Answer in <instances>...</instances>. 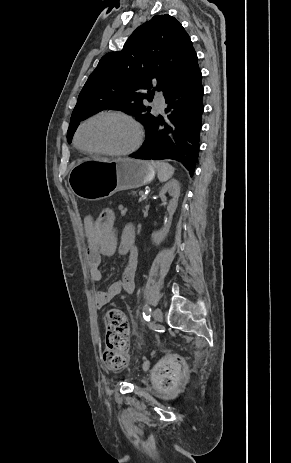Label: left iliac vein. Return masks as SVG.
<instances>
[{
    "instance_id": "left-iliac-vein-1",
    "label": "left iliac vein",
    "mask_w": 291,
    "mask_h": 463,
    "mask_svg": "<svg viewBox=\"0 0 291 463\" xmlns=\"http://www.w3.org/2000/svg\"><path fill=\"white\" fill-rule=\"evenodd\" d=\"M153 318L156 322H160L163 318V314L160 308H155L153 311Z\"/></svg>"
}]
</instances>
